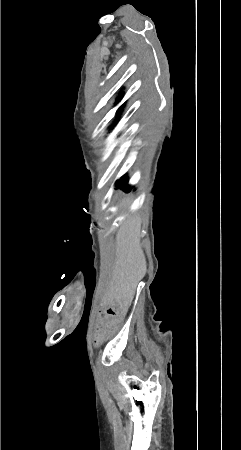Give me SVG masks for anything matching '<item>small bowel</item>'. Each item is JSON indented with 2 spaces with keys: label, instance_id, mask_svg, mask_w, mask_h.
<instances>
[{
  "label": "small bowel",
  "instance_id": "small-bowel-1",
  "mask_svg": "<svg viewBox=\"0 0 241 450\" xmlns=\"http://www.w3.org/2000/svg\"><path fill=\"white\" fill-rule=\"evenodd\" d=\"M104 305L105 306L102 308V310H96V319H126L128 309L127 302L125 300L112 302L110 304L112 308L108 306L109 304L107 302ZM95 325L97 328L94 332L98 336L94 338L92 345L94 347H98L100 343L104 341V338L102 336H107L110 339L113 333L112 329L119 328L120 323L117 320H99Z\"/></svg>",
  "mask_w": 241,
  "mask_h": 450
}]
</instances>
